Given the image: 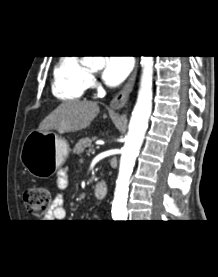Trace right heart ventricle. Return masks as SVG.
<instances>
[{
	"label": "right heart ventricle",
	"instance_id": "obj_1",
	"mask_svg": "<svg viewBox=\"0 0 218 277\" xmlns=\"http://www.w3.org/2000/svg\"><path fill=\"white\" fill-rule=\"evenodd\" d=\"M89 84L88 68L74 56L61 57L54 67L52 92L64 101L79 100Z\"/></svg>",
	"mask_w": 218,
	"mask_h": 277
}]
</instances>
